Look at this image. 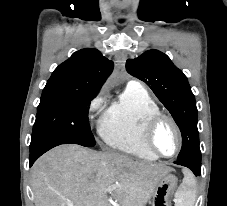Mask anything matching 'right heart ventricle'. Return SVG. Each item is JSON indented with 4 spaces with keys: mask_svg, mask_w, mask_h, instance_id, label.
<instances>
[{
    "mask_svg": "<svg viewBox=\"0 0 227 206\" xmlns=\"http://www.w3.org/2000/svg\"><path fill=\"white\" fill-rule=\"evenodd\" d=\"M159 111V106L146 90L127 87L106 109L99 135L113 149L155 161L158 157L143 142V127L148 117Z\"/></svg>",
    "mask_w": 227,
    "mask_h": 206,
    "instance_id": "1",
    "label": "right heart ventricle"
}]
</instances>
